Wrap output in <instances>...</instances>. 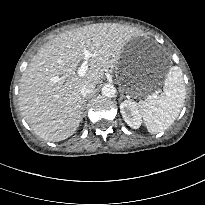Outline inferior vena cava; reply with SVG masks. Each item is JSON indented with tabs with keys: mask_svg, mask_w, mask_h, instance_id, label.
Wrapping results in <instances>:
<instances>
[{
	"mask_svg": "<svg viewBox=\"0 0 205 205\" xmlns=\"http://www.w3.org/2000/svg\"><path fill=\"white\" fill-rule=\"evenodd\" d=\"M95 89V84L94 83H89V84H85L81 90L80 93L82 95V97H86L88 94H91Z\"/></svg>",
	"mask_w": 205,
	"mask_h": 205,
	"instance_id": "602c4592",
	"label": "inferior vena cava"
}]
</instances>
